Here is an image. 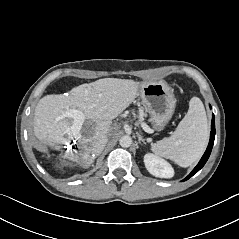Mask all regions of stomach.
Wrapping results in <instances>:
<instances>
[{"label":"stomach","mask_w":239,"mask_h":239,"mask_svg":"<svg viewBox=\"0 0 239 239\" xmlns=\"http://www.w3.org/2000/svg\"><path fill=\"white\" fill-rule=\"evenodd\" d=\"M138 94L151 116L154 128L157 131L163 130L176 106L171 87L165 81L144 82L140 85Z\"/></svg>","instance_id":"obj_1"}]
</instances>
